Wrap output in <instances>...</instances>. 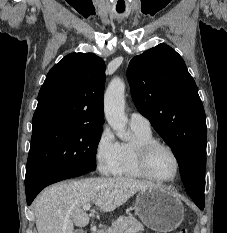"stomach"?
I'll return each instance as SVG.
<instances>
[{"label":"stomach","mask_w":227,"mask_h":233,"mask_svg":"<svg viewBox=\"0 0 227 233\" xmlns=\"http://www.w3.org/2000/svg\"><path fill=\"white\" fill-rule=\"evenodd\" d=\"M134 209L142 222L157 233L175 230L185 216L180 198L171 190L162 187L139 191Z\"/></svg>","instance_id":"1"}]
</instances>
